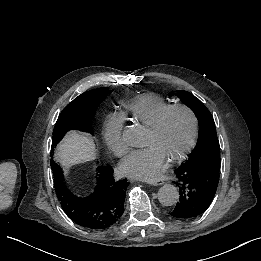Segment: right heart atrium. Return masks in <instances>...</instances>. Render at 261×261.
<instances>
[{"label":"right heart atrium","instance_id":"d8ad5b80","mask_svg":"<svg viewBox=\"0 0 261 261\" xmlns=\"http://www.w3.org/2000/svg\"><path fill=\"white\" fill-rule=\"evenodd\" d=\"M103 140L106 149L117 157H121L127 150L128 143L124 140L121 127L112 121H107L103 126Z\"/></svg>","mask_w":261,"mask_h":261}]
</instances>
